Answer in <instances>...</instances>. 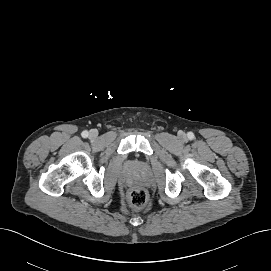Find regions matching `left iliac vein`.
<instances>
[{
	"instance_id": "4c4485c4",
	"label": "left iliac vein",
	"mask_w": 271,
	"mask_h": 271,
	"mask_svg": "<svg viewBox=\"0 0 271 271\" xmlns=\"http://www.w3.org/2000/svg\"><path fill=\"white\" fill-rule=\"evenodd\" d=\"M179 138H180L181 140H184V139L186 138V135H185L184 133H181V134L179 135Z\"/></svg>"
}]
</instances>
